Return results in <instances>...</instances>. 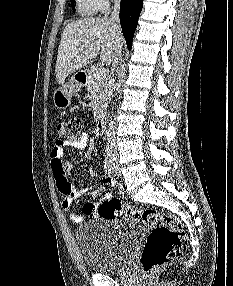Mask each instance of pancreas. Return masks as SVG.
<instances>
[{"label": "pancreas", "instance_id": "pancreas-1", "mask_svg": "<svg viewBox=\"0 0 233 286\" xmlns=\"http://www.w3.org/2000/svg\"><path fill=\"white\" fill-rule=\"evenodd\" d=\"M87 91L90 93L91 107L95 118H98L107 102V81L104 78L98 79L95 73H89L86 83Z\"/></svg>", "mask_w": 233, "mask_h": 286}]
</instances>
